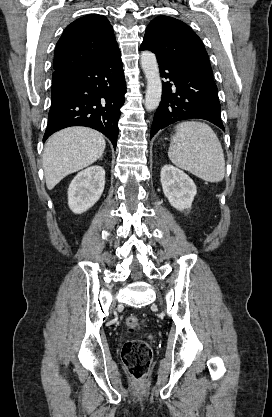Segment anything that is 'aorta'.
<instances>
[{
	"label": "aorta",
	"mask_w": 272,
	"mask_h": 417,
	"mask_svg": "<svg viewBox=\"0 0 272 417\" xmlns=\"http://www.w3.org/2000/svg\"><path fill=\"white\" fill-rule=\"evenodd\" d=\"M141 66L147 79L145 108L147 111H153L159 106L162 95V82L155 54L150 51H143L141 53Z\"/></svg>",
	"instance_id": "obj_1"
}]
</instances>
